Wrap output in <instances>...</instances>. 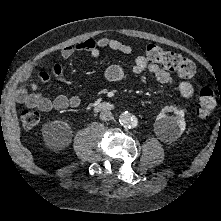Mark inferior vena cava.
<instances>
[{
	"label": "inferior vena cava",
	"mask_w": 221,
	"mask_h": 221,
	"mask_svg": "<svg viewBox=\"0 0 221 221\" xmlns=\"http://www.w3.org/2000/svg\"><path fill=\"white\" fill-rule=\"evenodd\" d=\"M100 119L103 121H109L113 119V115L110 111L104 110L100 113Z\"/></svg>",
	"instance_id": "1"
}]
</instances>
